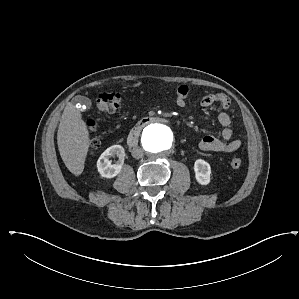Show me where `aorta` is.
Masks as SVG:
<instances>
[{
	"label": "aorta",
	"instance_id": "1",
	"mask_svg": "<svg viewBox=\"0 0 299 299\" xmlns=\"http://www.w3.org/2000/svg\"><path fill=\"white\" fill-rule=\"evenodd\" d=\"M142 146L149 156H158L173 146V132L164 124H150L142 134Z\"/></svg>",
	"mask_w": 299,
	"mask_h": 299
}]
</instances>
